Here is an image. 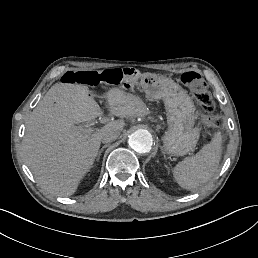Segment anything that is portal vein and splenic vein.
I'll list each match as a JSON object with an SVG mask.
<instances>
[{"label": "portal vein and splenic vein", "mask_w": 258, "mask_h": 258, "mask_svg": "<svg viewBox=\"0 0 258 258\" xmlns=\"http://www.w3.org/2000/svg\"><path fill=\"white\" fill-rule=\"evenodd\" d=\"M77 128H78L80 131H84L83 128H82V126H78ZM88 130H90V131H95V130H97V127H90V126H88Z\"/></svg>", "instance_id": "18ae733b"}]
</instances>
